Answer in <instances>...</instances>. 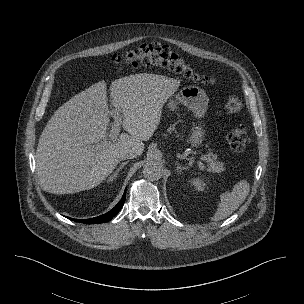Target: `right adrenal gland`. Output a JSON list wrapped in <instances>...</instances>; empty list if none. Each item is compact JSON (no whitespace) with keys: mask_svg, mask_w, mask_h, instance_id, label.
Returning a JSON list of instances; mask_svg holds the SVG:
<instances>
[{"mask_svg":"<svg viewBox=\"0 0 304 304\" xmlns=\"http://www.w3.org/2000/svg\"><path fill=\"white\" fill-rule=\"evenodd\" d=\"M127 164H128V161L123 162V163L117 168V170L113 173V175L109 177V181L112 182L114 179H116L117 176H118V174H119V172H120V170H122V169L124 168V166H126Z\"/></svg>","mask_w":304,"mask_h":304,"instance_id":"2a0ac1e0","label":"right adrenal gland"}]
</instances>
